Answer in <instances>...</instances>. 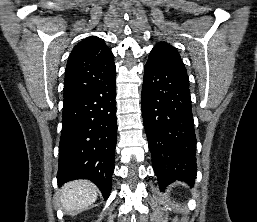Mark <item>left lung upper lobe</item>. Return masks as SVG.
I'll return each mask as SVG.
<instances>
[{"label": "left lung upper lobe", "instance_id": "left-lung-upper-lobe-1", "mask_svg": "<svg viewBox=\"0 0 257 222\" xmlns=\"http://www.w3.org/2000/svg\"><path fill=\"white\" fill-rule=\"evenodd\" d=\"M148 60L160 63L181 75L188 77L186 68L178 51L166 42L157 43L150 52Z\"/></svg>", "mask_w": 257, "mask_h": 222}]
</instances>
